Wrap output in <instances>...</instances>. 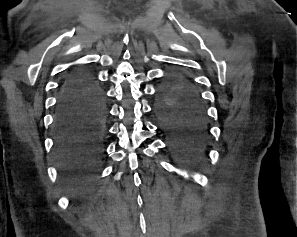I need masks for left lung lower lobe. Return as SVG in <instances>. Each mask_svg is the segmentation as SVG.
<instances>
[{"label": "left lung lower lobe", "instance_id": "1", "mask_svg": "<svg viewBox=\"0 0 297 237\" xmlns=\"http://www.w3.org/2000/svg\"><path fill=\"white\" fill-rule=\"evenodd\" d=\"M156 112L174 152L186 159L203 154L210 132L204 107L200 103L184 101L173 105L157 104Z\"/></svg>", "mask_w": 297, "mask_h": 237}]
</instances>
